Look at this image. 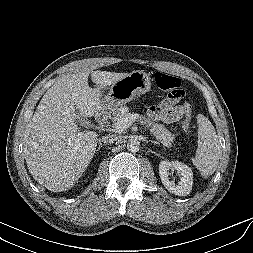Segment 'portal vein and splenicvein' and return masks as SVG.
I'll use <instances>...</instances> for the list:
<instances>
[{
  "label": "portal vein and splenic vein",
  "mask_w": 253,
  "mask_h": 253,
  "mask_svg": "<svg viewBox=\"0 0 253 253\" xmlns=\"http://www.w3.org/2000/svg\"><path fill=\"white\" fill-rule=\"evenodd\" d=\"M138 119V114H131L127 117L121 118L116 124L115 129L119 132L127 129L134 121Z\"/></svg>",
  "instance_id": "18ae733b"
}]
</instances>
